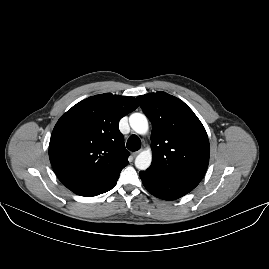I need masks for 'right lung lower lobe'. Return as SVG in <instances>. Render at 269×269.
<instances>
[{"instance_id":"98d812e1","label":"right lung lower lobe","mask_w":269,"mask_h":269,"mask_svg":"<svg viewBox=\"0 0 269 269\" xmlns=\"http://www.w3.org/2000/svg\"><path fill=\"white\" fill-rule=\"evenodd\" d=\"M119 175L120 172L114 175L112 178L108 179L107 181L94 185L74 188L71 191L80 196H96L111 190L116 185Z\"/></svg>"}]
</instances>
